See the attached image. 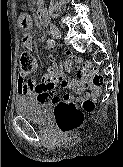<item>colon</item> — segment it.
<instances>
[{
    "mask_svg": "<svg viewBox=\"0 0 123 167\" xmlns=\"http://www.w3.org/2000/svg\"><path fill=\"white\" fill-rule=\"evenodd\" d=\"M19 64L21 76L32 74L37 66L35 57L28 51L21 53ZM84 71L91 76L95 86L102 84V76L94 71L91 66L85 67ZM94 105L95 103L91 99H86L83 102L82 109L72 102H59L55 107V122L60 133L66 135L77 130L84 121V112H91Z\"/></svg>",
    "mask_w": 123,
    "mask_h": 167,
    "instance_id": "1",
    "label": "colon"
}]
</instances>
